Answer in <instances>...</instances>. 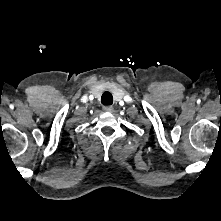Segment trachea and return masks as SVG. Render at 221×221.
Here are the masks:
<instances>
[{
	"mask_svg": "<svg viewBox=\"0 0 221 221\" xmlns=\"http://www.w3.org/2000/svg\"><path fill=\"white\" fill-rule=\"evenodd\" d=\"M101 103L103 105H111L113 103V96L110 92L106 91L101 97Z\"/></svg>",
	"mask_w": 221,
	"mask_h": 221,
	"instance_id": "1",
	"label": "trachea"
}]
</instances>
